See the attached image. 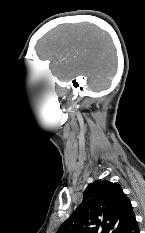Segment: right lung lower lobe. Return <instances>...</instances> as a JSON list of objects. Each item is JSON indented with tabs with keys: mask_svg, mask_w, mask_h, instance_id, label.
Listing matches in <instances>:
<instances>
[{
	"mask_svg": "<svg viewBox=\"0 0 145 233\" xmlns=\"http://www.w3.org/2000/svg\"><path fill=\"white\" fill-rule=\"evenodd\" d=\"M122 233H139V228L135 217Z\"/></svg>",
	"mask_w": 145,
	"mask_h": 233,
	"instance_id": "1",
	"label": "right lung lower lobe"
}]
</instances>
